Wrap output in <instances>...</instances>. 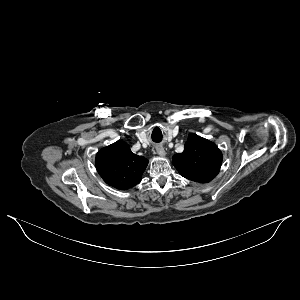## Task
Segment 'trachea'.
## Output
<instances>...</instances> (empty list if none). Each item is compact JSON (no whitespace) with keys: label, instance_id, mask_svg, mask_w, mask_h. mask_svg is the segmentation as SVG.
Masks as SVG:
<instances>
[{"label":"trachea","instance_id":"3493384b","mask_svg":"<svg viewBox=\"0 0 300 300\" xmlns=\"http://www.w3.org/2000/svg\"><path fill=\"white\" fill-rule=\"evenodd\" d=\"M161 141V139H159L158 141H155V142H160Z\"/></svg>","mask_w":300,"mask_h":300}]
</instances>
